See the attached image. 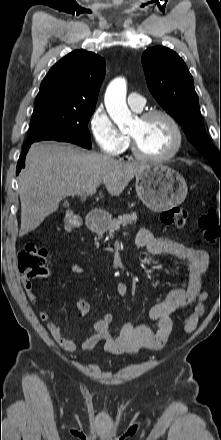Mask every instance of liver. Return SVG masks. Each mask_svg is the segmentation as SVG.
<instances>
[{
	"label": "liver",
	"mask_w": 221,
	"mask_h": 440,
	"mask_svg": "<svg viewBox=\"0 0 221 440\" xmlns=\"http://www.w3.org/2000/svg\"><path fill=\"white\" fill-rule=\"evenodd\" d=\"M25 163L18 178L21 237L55 212L63 198L84 195L101 183L111 196L117 197L134 176L149 167L54 141L33 144Z\"/></svg>",
	"instance_id": "6515ba94"
}]
</instances>
